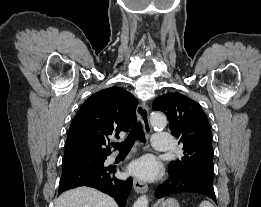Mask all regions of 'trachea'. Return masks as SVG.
<instances>
[{"mask_svg":"<svg viewBox=\"0 0 261 207\" xmlns=\"http://www.w3.org/2000/svg\"><path fill=\"white\" fill-rule=\"evenodd\" d=\"M140 140L145 143V135L143 132V126L140 122L136 123L130 130L127 138L121 143H112V146L119 152H128L136 140Z\"/></svg>","mask_w":261,"mask_h":207,"instance_id":"trachea-1","label":"trachea"}]
</instances>
